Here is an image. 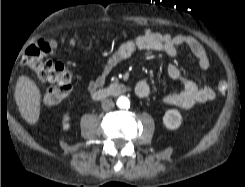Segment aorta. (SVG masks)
<instances>
[{"label":"aorta","mask_w":245,"mask_h":187,"mask_svg":"<svg viewBox=\"0 0 245 187\" xmlns=\"http://www.w3.org/2000/svg\"><path fill=\"white\" fill-rule=\"evenodd\" d=\"M117 106L120 109H128L130 107V101L127 97L121 96L117 99Z\"/></svg>","instance_id":"1"}]
</instances>
